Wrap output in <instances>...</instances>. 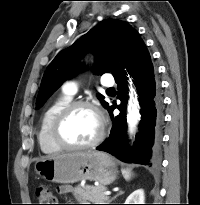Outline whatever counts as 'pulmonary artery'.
<instances>
[{
	"mask_svg": "<svg viewBox=\"0 0 200 205\" xmlns=\"http://www.w3.org/2000/svg\"><path fill=\"white\" fill-rule=\"evenodd\" d=\"M102 84L104 86H113L114 85V80L110 77H105L102 80ZM78 91V84L75 81H67L66 83H64L63 85V92L69 96H74Z\"/></svg>",
	"mask_w": 200,
	"mask_h": 205,
	"instance_id": "1",
	"label": "pulmonary artery"
}]
</instances>
